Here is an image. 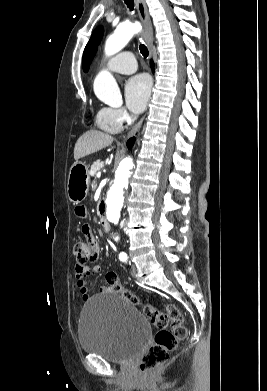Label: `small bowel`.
<instances>
[{
    "mask_svg": "<svg viewBox=\"0 0 267 391\" xmlns=\"http://www.w3.org/2000/svg\"><path fill=\"white\" fill-rule=\"evenodd\" d=\"M75 213L77 217L85 218L87 216V209L83 205H78L75 208ZM82 232L85 234L87 239H93V234L89 225L84 224L82 226ZM99 271H100V267L98 265L83 266V267H79L76 265L75 267V275L77 280L76 284L83 300L89 299L88 288L86 286V277L89 274H95L98 273ZM99 291L100 293H106L109 290L106 287H101Z\"/></svg>",
    "mask_w": 267,
    "mask_h": 391,
    "instance_id": "obj_1",
    "label": "small bowel"
}]
</instances>
